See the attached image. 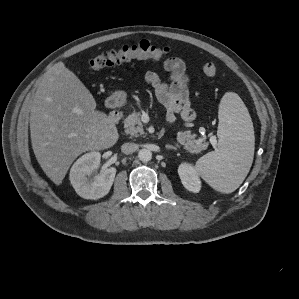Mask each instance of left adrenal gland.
I'll return each instance as SVG.
<instances>
[{
  "label": "left adrenal gland",
  "mask_w": 299,
  "mask_h": 299,
  "mask_svg": "<svg viewBox=\"0 0 299 299\" xmlns=\"http://www.w3.org/2000/svg\"><path fill=\"white\" fill-rule=\"evenodd\" d=\"M166 149L168 150H176L175 147L171 146V145H166Z\"/></svg>",
  "instance_id": "a2214340"
}]
</instances>
